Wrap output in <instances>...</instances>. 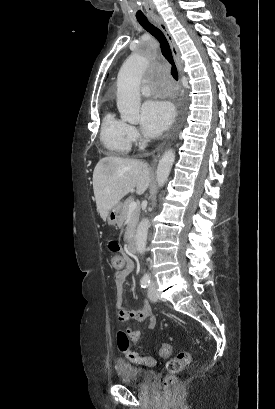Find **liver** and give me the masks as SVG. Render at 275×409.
Instances as JSON below:
<instances>
[{"instance_id":"liver-1","label":"liver","mask_w":275,"mask_h":409,"mask_svg":"<svg viewBox=\"0 0 275 409\" xmlns=\"http://www.w3.org/2000/svg\"><path fill=\"white\" fill-rule=\"evenodd\" d=\"M150 174L147 162L137 158H100L93 172V188L101 219L106 221L110 209L134 186L137 194H143L151 182Z\"/></svg>"}]
</instances>
